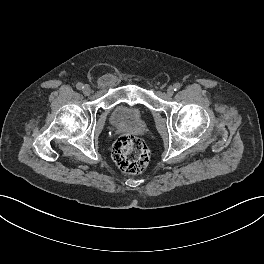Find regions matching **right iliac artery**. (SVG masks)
<instances>
[{"instance_id": "82829eb1", "label": "right iliac artery", "mask_w": 264, "mask_h": 264, "mask_svg": "<svg viewBox=\"0 0 264 264\" xmlns=\"http://www.w3.org/2000/svg\"><path fill=\"white\" fill-rule=\"evenodd\" d=\"M83 84L82 83H77V85H76V88L77 89H79V90H81V89H83Z\"/></svg>"}]
</instances>
